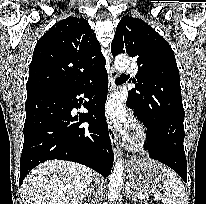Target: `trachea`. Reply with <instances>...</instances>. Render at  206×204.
<instances>
[{
  "label": "trachea",
  "instance_id": "3493384b",
  "mask_svg": "<svg viewBox=\"0 0 206 204\" xmlns=\"http://www.w3.org/2000/svg\"><path fill=\"white\" fill-rule=\"evenodd\" d=\"M119 81H120V80L118 79V80H116L115 82L118 83Z\"/></svg>",
  "mask_w": 206,
  "mask_h": 204
}]
</instances>
